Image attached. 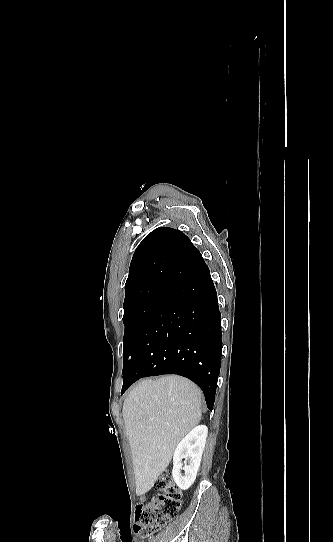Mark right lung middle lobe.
Listing matches in <instances>:
<instances>
[{
    "instance_id": "right-lung-middle-lobe-1",
    "label": "right lung middle lobe",
    "mask_w": 333,
    "mask_h": 542,
    "mask_svg": "<svg viewBox=\"0 0 333 542\" xmlns=\"http://www.w3.org/2000/svg\"><path fill=\"white\" fill-rule=\"evenodd\" d=\"M167 293L153 295L142 302L124 309L123 370L134 358L135 343L152 311Z\"/></svg>"
}]
</instances>
